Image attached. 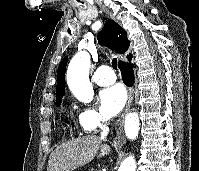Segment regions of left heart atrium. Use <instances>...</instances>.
I'll list each match as a JSON object with an SVG mask.
<instances>
[{"instance_id": "obj_1", "label": "left heart atrium", "mask_w": 199, "mask_h": 171, "mask_svg": "<svg viewBox=\"0 0 199 171\" xmlns=\"http://www.w3.org/2000/svg\"><path fill=\"white\" fill-rule=\"evenodd\" d=\"M99 99L103 114L107 117H113L123 108L126 100V93L121 85L116 84L102 90Z\"/></svg>"}]
</instances>
